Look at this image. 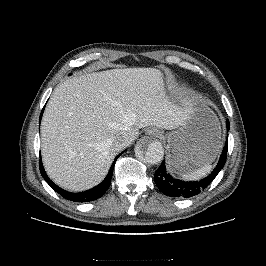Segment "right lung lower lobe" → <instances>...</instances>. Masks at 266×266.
<instances>
[{"label": "right lung lower lobe", "instance_id": "98d812e1", "mask_svg": "<svg viewBox=\"0 0 266 266\" xmlns=\"http://www.w3.org/2000/svg\"><path fill=\"white\" fill-rule=\"evenodd\" d=\"M44 110V108H43ZM43 110L41 112V115H40V122H41V117H42V113H43ZM123 153V152H122ZM120 153L114 160V162L112 163V166L109 170V173L107 174L106 178L99 184L97 185L96 187L90 189V190H87L85 192H80V193H71V192H67L63 189H61L60 187H58L56 184H54L50 179L49 177L47 176L44 168H43V165H42V162H41V159H40V172H41V175L43 176V178L45 179V181L57 192L59 193L62 197L68 199V200H71V201H74V202H89V201H93V200H96L98 198H100L101 196L104 195V193L107 191V189L109 188L110 186V183H111V178H112V174H113V168H114V165H115V162H116V159L122 154Z\"/></svg>", "mask_w": 266, "mask_h": 266}]
</instances>
